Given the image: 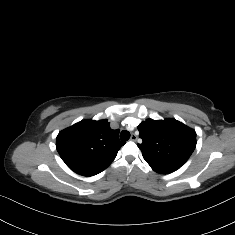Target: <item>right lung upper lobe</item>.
I'll list each match as a JSON object with an SVG mask.
<instances>
[{"label": "right lung upper lobe", "mask_w": 235, "mask_h": 235, "mask_svg": "<svg viewBox=\"0 0 235 235\" xmlns=\"http://www.w3.org/2000/svg\"><path fill=\"white\" fill-rule=\"evenodd\" d=\"M118 133L106 119L82 120L58 134L56 148L72 171L93 176L105 170L125 144Z\"/></svg>", "instance_id": "cb5924a9"}]
</instances>
